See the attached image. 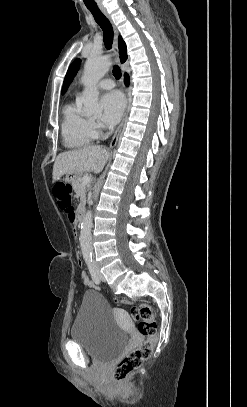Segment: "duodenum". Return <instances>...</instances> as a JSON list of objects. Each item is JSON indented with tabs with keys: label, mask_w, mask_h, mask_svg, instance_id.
<instances>
[{
	"label": "duodenum",
	"mask_w": 247,
	"mask_h": 407,
	"mask_svg": "<svg viewBox=\"0 0 247 407\" xmlns=\"http://www.w3.org/2000/svg\"><path fill=\"white\" fill-rule=\"evenodd\" d=\"M85 216V209L84 208H80L77 212V221L79 223H81L84 219Z\"/></svg>",
	"instance_id": "duodenum-1"
}]
</instances>
